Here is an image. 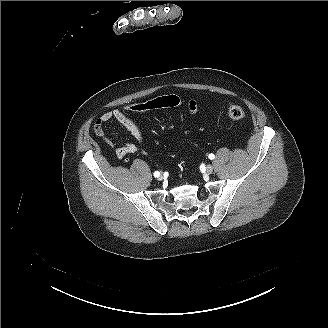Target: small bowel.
<instances>
[{
    "label": "small bowel",
    "instance_id": "obj_1",
    "mask_svg": "<svg viewBox=\"0 0 328 328\" xmlns=\"http://www.w3.org/2000/svg\"><path fill=\"white\" fill-rule=\"evenodd\" d=\"M198 106L194 100H190L188 102V111L190 115H196L198 113ZM117 120L121 123L142 145L144 143V135L140 129V127L131 120L123 111L121 110H112L105 112L101 115L98 122L100 124L107 123L111 120ZM138 150V147L133 143H127L122 147L116 149V156L119 159L125 158L128 154L134 153ZM142 151L145 153L146 150L143 147Z\"/></svg>",
    "mask_w": 328,
    "mask_h": 328
}]
</instances>
